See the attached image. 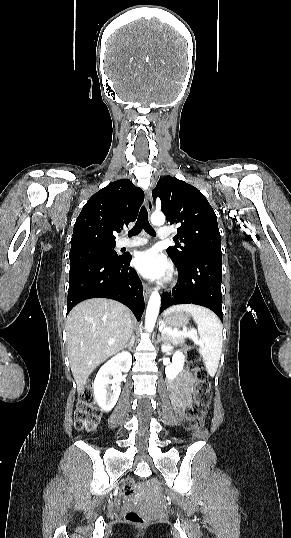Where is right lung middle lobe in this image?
<instances>
[{
  "instance_id": "obj_1",
  "label": "right lung middle lobe",
  "mask_w": 291,
  "mask_h": 538,
  "mask_svg": "<svg viewBox=\"0 0 291 538\" xmlns=\"http://www.w3.org/2000/svg\"><path fill=\"white\" fill-rule=\"evenodd\" d=\"M115 245H90L71 249L69 258L70 263L90 260V259H104V260H117L121 256H118L114 250Z\"/></svg>"
}]
</instances>
